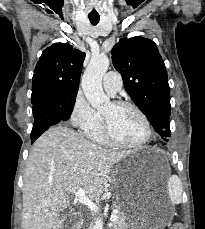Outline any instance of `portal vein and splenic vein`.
<instances>
[{
  "mask_svg": "<svg viewBox=\"0 0 205 229\" xmlns=\"http://www.w3.org/2000/svg\"><path fill=\"white\" fill-rule=\"evenodd\" d=\"M75 197L81 204L86 205L91 211H95L97 209V205L86 196L85 189L83 188L78 189L75 192ZM117 219L118 217L115 214H112L110 216L111 221H115Z\"/></svg>",
  "mask_w": 205,
  "mask_h": 229,
  "instance_id": "portal-vein-and-splenic-vein-1",
  "label": "portal vein and splenic vein"
}]
</instances>
